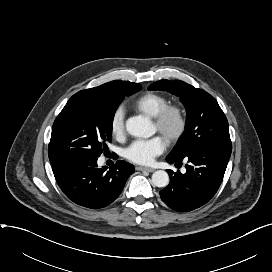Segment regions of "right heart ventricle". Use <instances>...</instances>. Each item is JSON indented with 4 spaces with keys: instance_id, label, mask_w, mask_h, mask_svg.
Here are the masks:
<instances>
[{
    "instance_id": "e07e8e85",
    "label": "right heart ventricle",
    "mask_w": 272,
    "mask_h": 272,
    "mask_svg": "<svg viewBox=\"0 0 272 272\" xmlns=\"http://www.w3.org/2000/svg\"><path fill=\"white\" fill-rule=\"evenodd\" d=\"M169 103L168 98L157 92H147L139 96L132 104L133 108L149 117H154Z\"/></svg>"
}]
</instances>
